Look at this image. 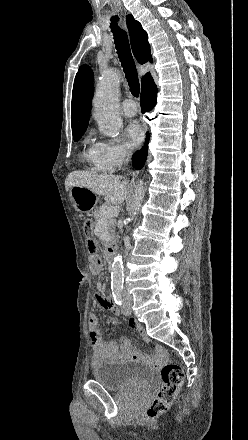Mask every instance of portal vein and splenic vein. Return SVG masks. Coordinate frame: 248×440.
I'll return each mask as SVG.
<instances>
[{"instance_id": "obj_1", "label": "portal vein and splenic vein", "mask_w": 248, "mask_h": 440, "mask_svg": "<svg viewBox=\"0 0 248 440\" xmlns=\"http://www.w3.org/2000/svg\"><path fill=\"white\" fill-rule=\"evenodd\" d=\"M119 213L118 209L114 206H108L102 210L103 217H115Z\"/></svg>"}]
</instances>
